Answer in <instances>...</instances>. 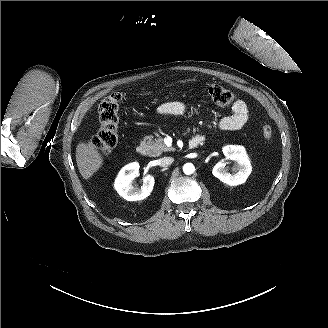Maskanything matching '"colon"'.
<instances>
[{"label": "colon", "mask_w": 328, "mask_h": 328, "mask_svg": "<svg viewBox=\"0 0 328 328\" xmlns=\"http://www.w3.org/2000/svg\"><path fill=\"white\" fill-rule=\"evenodd\" d=\"M204 89L210 99L217 105L227 106L234 101V94L220 85L208 84ZM121 100L122 94L114 92L99 104V130L90 143L91 147L99 153H109L118 142L117 129ZM262 134L266 140H269L272 137V128L269 125H264Z\"/></svg>", "instance_id": "obj_1"}]
</instances>
